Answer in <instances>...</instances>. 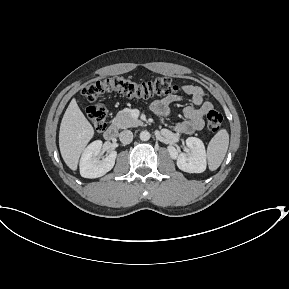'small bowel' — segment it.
I'll list each match as a JSON object with an SVG mask.
<instances>
[{"label":"small bowel","mask_w":289,"mask_h":289,"mask_svg":"<svg viewBox=\"0 0 289 289\" xmlns=\"http://www.w3.org/2000/svg\"><path fill=\"white\" fill-rule=\"evenodd\" d=\"M182 91L190 96L192 105L184 108L186 120L177 123L174 126L175 131L183 134H192L201 130L204 126V116L212 110L210 102L204 101V91L195 85H183ZM182 101L179 95H167L151 104V110L161 116H166L170 112V107L174 103Z\"/></svg>","instance_id":"small-bowel-1"}]
</instances>
